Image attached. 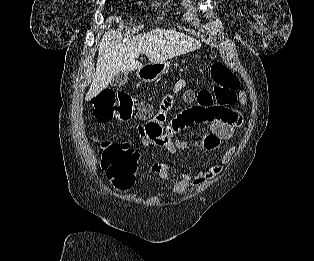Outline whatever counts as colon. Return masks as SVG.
<instances>
[{"instance_id":"5ec220e1","label":"colon","mask_w":314,"mask_h":261,"mask_svg":"<svg viewBox=\"0 0 314 261\" xmlns=\"http://www.w3.org/2000/svg\"><path fill=\"white\" fill-rule=\"evenodd\" d=\"M212 58L214 59V56ZM210 79L212 87L196 94L200 105H223L235 100L239 87L238 79L225 64L214 60L210 67ZM184 97L191 99L194 94L186 93ZM92 115L99 122L149 120L152 111L148 103L138 102L123 89L105 88L99 91L92 100ZM149 129L152 128L149 127ZM101 151V167L113 186L117 189L132 186L138 169V153L132 150L126 142L116 140L103 141Z\"/></svg>"}]
</instances>
